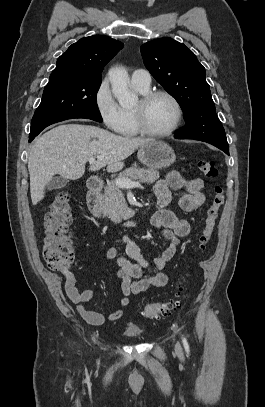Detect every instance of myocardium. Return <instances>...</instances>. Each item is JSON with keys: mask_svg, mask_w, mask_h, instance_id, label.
Returning <instances> with one entry per match:
<instances>
[{"mask_svg": "<svg viewBox=\"0 0 265 407\" xmlns=\"http://www.w3.org/2000/svg\"><path fill=\"white\" fill-rule=\"evenodd\" d=\"M157 97L168 98L173 103L176 110L174 123L169 129L163 132L151 131L147 128L145 123V109ZM133 118L135 128L139 134L150 138H165L172 135L180 126L183 119V108L177 97L166 90L147 91L141 97L139 105L133 109Z\"/></svg>", "mask_w": 265, "mask_h": 407, "instance_id": "f54148a6", "label": "myocardium"}]
</instances>
